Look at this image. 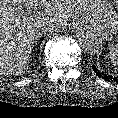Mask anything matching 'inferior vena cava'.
<instances>
[{
	"label": "inferior vena cava",
	"instance_id": "1",
	"mask_svg": "<svg viewBox=\"0 0 118 118\" xmlns=\"http://www.w3.org/2000/svg\"><path fill=\"white\" fill-rule=\"evenodd\" d=\"M61 28V25L52 19L43 18L39 22V34H46L47 32H57Z\"/></svg>",
	"mask_w": 118,
	"mask_h": 118
}]
</instances>
